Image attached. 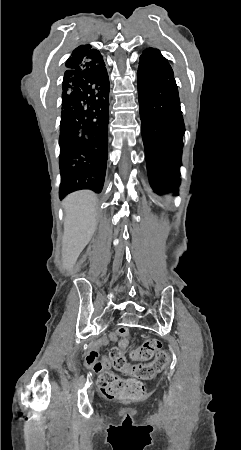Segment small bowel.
Segmentation results:
<instances>
[{"mask_svg": "<svg viewBox=\"0 0 241 450\" xmlns=\"http://www.w3.org/2000/svg\"><path fill=\"white\" fill-rule=\"evenodd\" d=\"M119 337L118 347L120 349H125L131 342V334L129 329L125 326H121L117 329L115 333H111L109 338L111 340H116ZM107 340L104 339L95 345L94 348L89 350L85 357L86 364L91 367L95 372H101L105 368H109L111 366V361L107 357H102L99 359L98 349L105 345Z\"/></svg>", "mask_w": 241, "mask_h": 450, "instance_id": "small-bowel-1", "label": "small bowel"}]
</instances>
